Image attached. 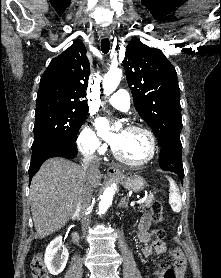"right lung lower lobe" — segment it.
Returning <instances> with one entry per match:
<instances>
[{
    "label": "right lung lower lobe",
    "mask_w": 221,
    "mask_h": 278,
    "mask_svg": "<svg viewBox=\"0 0 221 278\" xmlns=\"http://www.w3.org/2000/svg\"><path fill=\"white\" fill-rule=\"evenodd\" d=\"M76 154V143L63 138L49 139L33 147L31 163L29 167V182L46 159L58 156L72 159L76 156Z\"/></svg>",
    "instance_id": "right-lung-lower-lobe-1"
}]
</instances>
